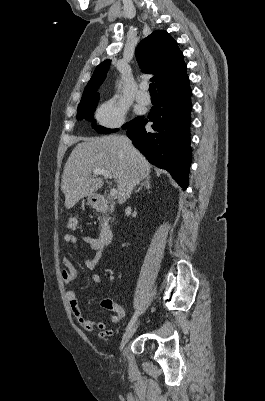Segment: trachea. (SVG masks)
<instances>
[{
	"instance_id": "trachea-1",
	"label": "trachea",
	"mask_w": 265,
	"mask_h": 401,
	"mask_svg": "<svg viewBox=\"0 0 265 401\" xmlns=\"http://www.w3.org/2000/svg\"><path fill=\"white\" fill-rule=\"evenodd\" d=\"M149 92H154V93H156V85H155V83H150V85H149Z\"/></svg>"
}]
</instances>
